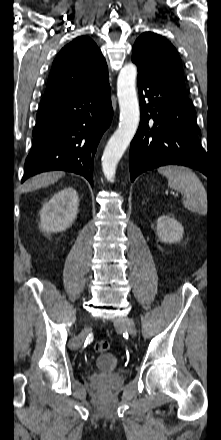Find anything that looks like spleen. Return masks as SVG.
<instances>
[{"label":"spleen","mask_w":221,"mask_h":440,"mask_svg":"<svg viewBox=\"0 0 221 440\" xmlns=\"http://www.w3.org/2000/svg\"><path fill=\"white\" fill-rule=\"evenodd\" d=\"M158 172L168 179L170 188L179 191L185 197L183 205L189 211L199 214L207 212V192L198 176L184 166H162Z\"/></svg>","instance_id":"obj_1"}]
</instances>
